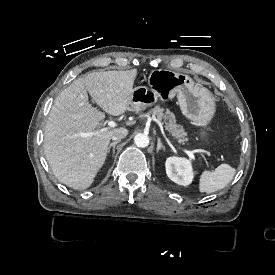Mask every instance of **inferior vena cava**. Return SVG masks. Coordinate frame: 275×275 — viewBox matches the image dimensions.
<instances>
[{"mask_svg": "<svg viewBox=\"0 0 275 275\" xmlns=\"http://www.w3.org/2000/svg\"><path fill=\"white\" fill-rule=\"evenodd\" d=\"M128 129L126 128H119V129H116L111 137V139L113 141H121L122 139H124L127 134H128Z\"/></svg>", "mask_w": 275, "mask_h": 275, "instance_id": "1", "label": "inferior vena cava"}]
</instances>
